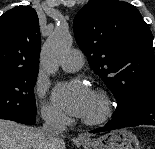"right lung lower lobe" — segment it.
I'll return each mask as SVG.
<instances>
[{
  "instance_id": "obj_1",
  "label": "right lung lower lobe",
  "mask_w": 155,
  "mask_h": 149,
  "mask_svg": "<svg viewBox=\"0 0 155 149\" xmlns=\"http://www.w3.org/2000/svg\"><path fill=\"white\" fill-rule=\"evenodd\" d=\"M35 117H36V115L32 118L27 119L26 122H21V123L26 124V125L35 124V121H36Z\"/></svg>"
}]
</instances>
